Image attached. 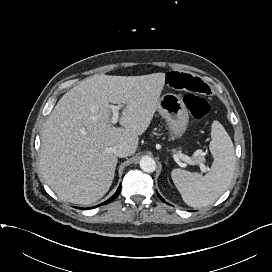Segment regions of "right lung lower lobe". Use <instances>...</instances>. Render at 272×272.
Listing matches in <instances>:
<instances>
[{
    "mask_svg": "<svg viewBox=\"0 0 272 272\" xmlns=\"http://www.w3.org/2000/svg\"><path fill=\"white\" fill-rule=\"evenodd\" d=\"M120 189H121V186H119V188L117 189L116 193L111 198H109L107 201L103 202L102 204H100L98 206H101V205H104V204H107V203L113 201L119 195ZM81 209H83V208H81ZM85 209H88V208H85Z\"/></svg>",
    "mask_w": 272,
    "mask_h": 272,
    "instance_id": "98d812e1",
    "label": "right lung lower lobe"
}]
</instances>
